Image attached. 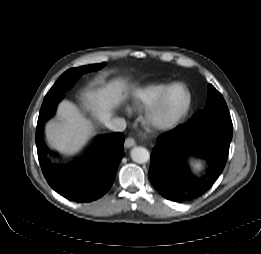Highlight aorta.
Here are the masks:
<instances>
[{"label":"aorta","mask_w":261,"mask_h":254,"mask_svg":"<svg viewBox=\"0 0 261 254\" xmlns=\"http://www.w3.org/2000/svg\"><path fill=\"white\" fill-rule=\"evenodd\" d=\"M131 159L136 163L143 164L149 161L150 154L143 147H135L131 150Z\"/></svg>","instance_id":"1"}]
</instances>
